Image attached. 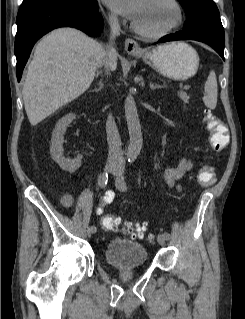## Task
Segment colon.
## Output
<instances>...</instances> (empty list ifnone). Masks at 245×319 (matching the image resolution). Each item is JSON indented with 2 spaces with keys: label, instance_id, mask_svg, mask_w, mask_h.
<instances>
[{
  "label": "colon",
  "instance_id": "5ec220e1",
  "mask_svg": "<svg viewBox=\"0 0 245 319\" xmlns=\"http://www.w3.org/2000/svg\"><path fill=\"white\" fill-rule=\"evenodd\" d=\"M206 129L209 133L211 148L216 152L223 151L228 145V135L225 125L212 113L207 112L204 118ZM198 182L202 187L212 185L216 180V171L214 166L209 165L200 170L197 176ZM69 202V198H66ZM120 219L114 215L103 217L101 225L110 232H116ZM125 232L132 238H143L146 233V227L141 224H127Z\"/></svg>",
  "mask_w": 245,
  "mask_h": 319
}]
</instances>
